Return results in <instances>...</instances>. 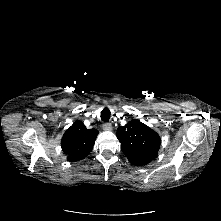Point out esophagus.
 <instances>
[{"mask_svg":"<svg viewBox=\"0 0 221 221\" xmlns=\"http://www.w3.org/2000/svg\"><path fill=\"white\" fill-rule=\"evenodd\" d=\"M103 128L104 130H111L112 129V125L109 122H106L103 124Z\"/></svg>","mask_w":221,"mask_h":221,"instance_id":"esophagus-1","label":"esophagus"}]
</instances>
